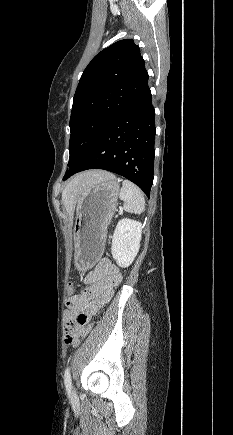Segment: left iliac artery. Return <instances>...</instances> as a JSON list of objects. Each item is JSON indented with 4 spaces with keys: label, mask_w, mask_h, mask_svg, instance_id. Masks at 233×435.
Instances as JSON below:
<instances>
[{
    "label": "left iliac artery",
    "mask_w": 233,
    "mask_h": 435,
    "mask_svg": "<svg viewBox=\"0 0 233 435\" xmlns=\"http://www.w3.org/2000/svg\"><path fill=\"white\" fill-rule=\"evenodd\" d=\"M64 384L67 389V391H71V376H70V368H66L65 374H64Z\"/></svg>",
    "instance_id": "left-iliac-artery-1"
}]
</instances>
